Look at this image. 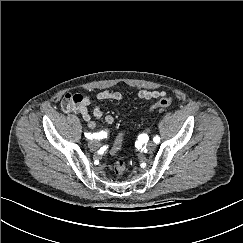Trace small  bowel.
Segmentation results:
<instances>
[{"instance_id": "obj_1", "label": "small bowel", "mask_w": 243, "mask_h": 243, "mask_svg": "<svg viewBox=\"0 0 243 243\" xmlns=\"http://www.w3.org/2000/svg\"><path fill=\"white\" fill-rule=\"evenodd\" d=\"M163 95L164 93L158 90H140L136 94L138 98L144 100L159 98ZM97 98L101 101H108V100L120 101L123 99V96L118 91L106 90L98 93ZM89 104H90V97L85 96L82 103L77 107L75 112H79L82 115L83 119L86 121L87 126L93 129L96 127V122L92 120V116L96 118H100L102 117L103 112L99 106H95L93 110L90 112L88 108ZM104 121L107 125H112L114 122V117L112 115H106L104 117ZM99 133H101L103 138L107 136V133L105 131Z\"/></svg>"}]
</instances>
